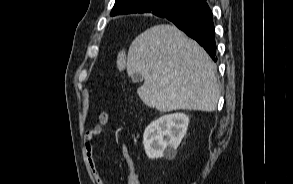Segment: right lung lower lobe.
<instances>
[{
	"label": "right lung lower lobe",
	"instance_id": "98d812e1",
	"mask_svg": "<svg viewBox=\"0 0 293 184\" xmlns=\"http://www.w3.org/2000/svg\"><path fill=\"white\" fill-rule=\"evenodd\" d=\"M172 21L189 37L196 40L216 61V43L212 11L208 4L190 3L161 16Z\"/></svg>",
	"mask_w": 293,
	"mask_h": 184
}]
</instances>
